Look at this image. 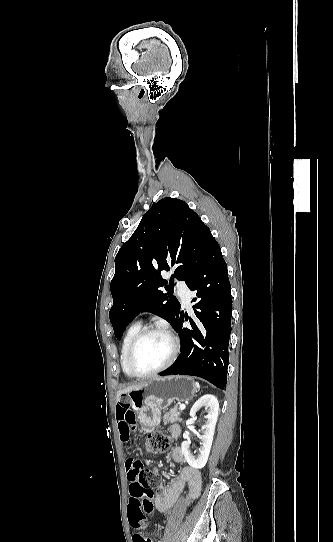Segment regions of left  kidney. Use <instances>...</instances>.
<instances>
[{
    "label": "left kidney",
    "mask_w": 333,
    "mask_h": 542,
    "mask_svg": "<svg viewBox=\"0 0 333 542\" xmlns=\"http://www.w3.org/2000/svg\"><path fill=\"white\" fill-rule=\"evenodd\" d=\"M203 406L207 408L208 414L205 416L207 422L204 428L203 436H200L202 444L199 450L200 454L198 458H195V456L191 454L190 442H182L181 444L182 452L185 456L187 464H189L191 468H196V470H201V468H204V466L207 464L219 412L217 398L212 396V394H205V396L199 398V400L195 402L194 406H192L189 416H191V418H195L197 410H199V408H203Z\"/></svg>",
    "instance_id": "obj_1"
}]
</instances>
